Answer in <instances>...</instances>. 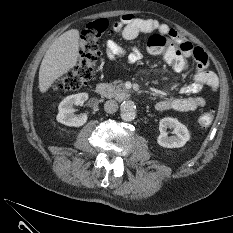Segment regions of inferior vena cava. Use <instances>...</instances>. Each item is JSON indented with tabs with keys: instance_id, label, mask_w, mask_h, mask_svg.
Listing matches in <instances>:
<instances>
[{
	"instance_id": "1",
	"label": "inferior vena cava",
	"mask_w": 233,
	"mask_h": 233,
	"mask_svg": "<svg viewBox=\"0 0 233 233\" xmlns=\"http://www.w3.org/2000/svg\"><path fill=\"white\" fill-rule=\"evenodd\" d=\"M104 110L107 113L113 114L118 110V103L115 100H108L104 104Z\"/></svg>"
}]
</instances>
